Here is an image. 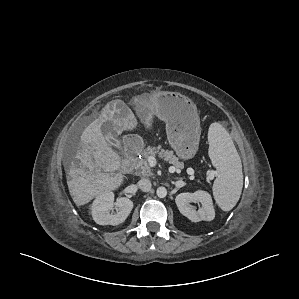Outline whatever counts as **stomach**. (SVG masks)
Listing matches in <instances>:
<instances>
[{
  "label": "stomach",
  "instance_id": "obj_1",
  "mask_svg": "<svg viewBox=\"0 0 299 299\" xmlns=\"http://www.w3.org/2000/svg\"><path fill=\"white\" fill-rule=\"evenodd\" d=\"M145 104L150 114L166 123L169 144L183 160L195 156L200 141V118L194 102L179 92L157 90Z\"/></svg>",
  "mask_w": 299,
  "mask_h": 299
}]
</instances>
